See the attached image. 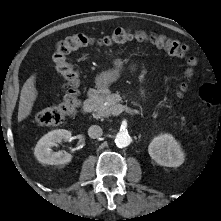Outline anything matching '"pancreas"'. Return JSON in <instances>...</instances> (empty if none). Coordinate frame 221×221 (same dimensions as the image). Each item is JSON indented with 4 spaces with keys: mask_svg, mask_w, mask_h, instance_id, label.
Listing matches in <instances>:
<instances>
[{
    "mask_svg": "<svg viewBox=\"0 0 221 221\" xmlns=\"http://www.w3.org/2000/svg\"><path fill=\"white\" fill-rule=\"evenodd\" d=\"M122 97L119 92L113 94H107L104 98H101L96 103V106L93 109V117L100 119L103 117H109L113 114L114 107L122 102ZM134 105H137L136 102H133Z\"/></svg>",
    "mask_w": 221,
    "mask_h": 221,
    "instance_id": "obj_1",
    "label": "pancreas"
}]
</instances>
